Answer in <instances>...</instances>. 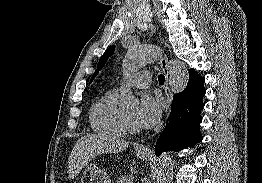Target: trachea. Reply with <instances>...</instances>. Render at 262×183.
<instances>
[{"label": "trachea", "mask_w": 262, "mask_h": 183, "mask_svg": "<svg viewBox=\"0 0 262 183\" xmlns=\"http://www.w3.org/2000/svg\"><path fill=\"white\" fill-rule=\"evenodd\" d=\"M158 81H159L160 84H164L165 76L162 75V74H160V75L158 76Z\"/></svg>", "instance_id": "1"}]
</instances>
